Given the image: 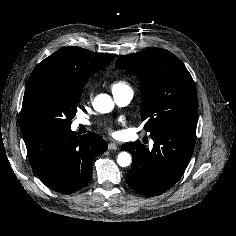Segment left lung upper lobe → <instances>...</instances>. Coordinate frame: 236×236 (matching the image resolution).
<instances>
[{"mask_svg":"<svg viewBox=\"0 0 236 236\" xmlns=\"http://www.w3.org/2000/svg\"><path fill=\"white\" fill-rule=\"evenodd\" d=\"M115 68L134 73L143 84L141 117L146 131L166 127L196 130V87L174 54L165 49H148L120 57Z\"/></svg>","mask_w":236,"mask_h":236,"instance_id":"1","label":"left lung upper lobe"}]
</instances>
